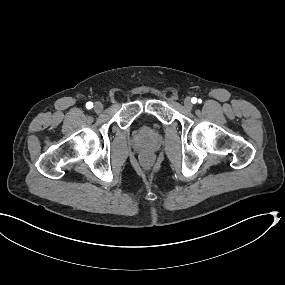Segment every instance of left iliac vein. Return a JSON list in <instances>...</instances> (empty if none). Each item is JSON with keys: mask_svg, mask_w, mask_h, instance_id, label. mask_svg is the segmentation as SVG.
I'll use <instances>...</instances> for the list:
<instances>
[{"mask_svg": "<svg viewBox=\"0 0 285 285\" xmlns=\"http://www.w3.org/2000/svg\"><path fill=\"white\" fill-rule=\"evenodd\" d=\"M184 106L186 107V109L191 110L193 108V104L192 101L189 97H186L184 99Z\"/></svg>", "mask_w": 285, "mask_h": 285, "instance_id": "4c4485c4", "label": "left iliac vein"}]
</instances>
